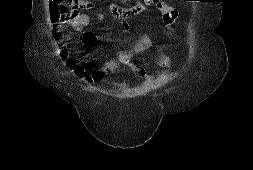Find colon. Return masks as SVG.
Instances as JSON below:
<instances>
[{"label":"colon","mask_w":253,"mask_h":170,"mask_svg":"<svg viewBox=\"0 0 253 170\" xmlns=\"http://www.w3.org/2000/svg\"><path fill=\"white\" fill-rule=\"evenodd\" d=\"M145 1L149 4L158 2V0ZM86 6L83 0H49L50 12L55 22L76 17Z\"/></svg>","instance_id":"1"}]
</instances>
